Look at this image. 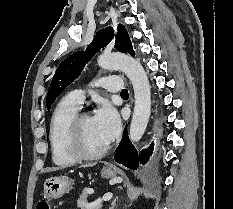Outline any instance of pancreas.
<instances>
[{"label":"pancreas","mask_w":233,"mask_h":209,"mask_svg":"<svg viewBox=\"0 0 233 209\" xmlns=\"http://www.w3.org/2000/svg\"><path fill=\"white\" fill-rule=\"evenodd\" d=\"M88 192H89V189H87V188H85L83 190V193L80 195V197H79V199L77 201V206L80 209H101L102 201L88 202V200H87Z\"/></svg>","instance_id":"obj_1"}]
</instances>
